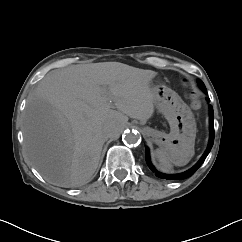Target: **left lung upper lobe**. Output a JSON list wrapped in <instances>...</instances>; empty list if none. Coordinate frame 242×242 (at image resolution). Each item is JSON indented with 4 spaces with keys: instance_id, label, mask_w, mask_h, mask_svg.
Masks as SVG:
<instances>
[{
    "instance_id": "obj_1",
    "label": "left lung upper lobe",
    "mask_w": 242,
    "mask_h": 242,
    "mask_svg": "<svg viewBox=\"0 0 242 242\" xmlns=\"http://www.w3.org/2000/svg\"><path fill=\"white\" fill-rule=\"evenodd\" d=\"M199 84H200V86L205 90L206 88H205V85H204V83L202 82V81H199Z\"/></svg>"
}]
</instances>
